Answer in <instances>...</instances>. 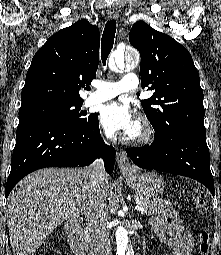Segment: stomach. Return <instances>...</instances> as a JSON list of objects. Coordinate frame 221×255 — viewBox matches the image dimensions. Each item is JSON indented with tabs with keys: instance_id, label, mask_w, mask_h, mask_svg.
<instances>
[{
	"instance_id": "stomach-1",
	"label": "stomach",
	"mask_w": 221,
	"mask_h": 255,
	"mask_svg": "<svg viewBox=\"0 0 221 255\" xmlns=\"http://www.w3.org/2000/svg\"><path fill=\"white\" fill-rule=\"evenodd\" d=\"M127 184L138 194L155 197L163 193L164 180L156 172L133 173L125 175Z\"/></svg>"
}]
</instances>
